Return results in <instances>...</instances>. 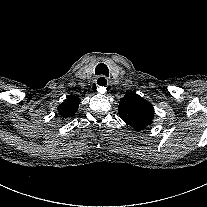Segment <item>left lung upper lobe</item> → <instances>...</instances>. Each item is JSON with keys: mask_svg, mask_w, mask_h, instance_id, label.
Segmentation results:
<instances>
[{"mask_svg": "<svg viewBox=\"0 0 207 207\" xmlns=\"http://www.w3.org/2000/svg\"><path fill=\"white\" fill-rule=\"evenodd\" d=\"M118 112L120 118L135 130L145 129L153 123L152 104L135 92H128L121 99Z\"/></svg>", "mask_w": 207, "mask_h": 207, "instance_id": "left-lung-upper-lobe-1", "label": "left lung upper lobe"}]
</instances>
